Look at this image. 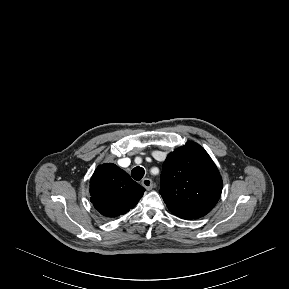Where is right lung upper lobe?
I'll use <instances>...</instances> for the list:
<instances>
[{"label":"right lung upper lobe","mask_w":289,"mask_h":289,"mask_svg":"<svg viewBox=\"0 0 289 289\" xmlns=\"http://www.w3.org/2000/svg\"><path fill=\"white\" fill-rule=\"evenodd\" d=\"M144 191L125 171L112 163L98 166L90 181V201L107 217L127 213L135 207Z\"/></svg>","instance_id":"right-lung-upper-lobe-1"}]
</instances>
